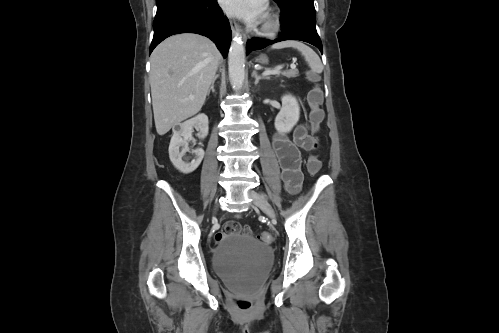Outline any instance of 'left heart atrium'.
<instances>
[{"mask_svg":"<svg viewBox=\"0 0 499 333\" xmlns=\"http://www.w3.org/2000/svg\"><path fill=\"white\" fill-rule=\"evenodd\" d=\"M225 12L254 23L265 13L266 0H219Z\"/></svg>","mask_w":499,"mask_h":333,"instance_id":"39dd6f15","label":"left heart atrium"}]
</instances>
